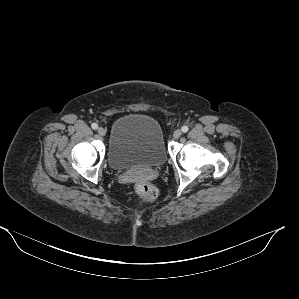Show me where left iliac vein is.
<instances>
[{
    "label": "left iliac vein",
    "mask_w": 299,
    "mask_h": 299,
    "mask_svg": "<svg viewBox=\"0 0 299 299\" xmlns=\"http://www.w3.org/2000/svg\"><path fill=\"white\" fill-rule=\"evenodd\" d=\"M181 134H182L181 130L177 129V130L174 131L173 137L175 139H177V138H179L181 136Z\"/></svg>",
    "instance_id": "4c4485c4"
}]
</instances>
